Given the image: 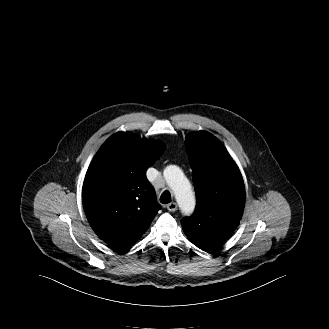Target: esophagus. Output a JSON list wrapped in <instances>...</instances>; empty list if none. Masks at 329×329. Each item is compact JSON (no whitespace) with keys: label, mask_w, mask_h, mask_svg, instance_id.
<instances>
[{"label":"esophagus","mask_w":329,"mask_h":329,"mask_svg":"<svg viewBox=\"0 0 329 329\" xmlns=\"http://www.w3.org/2000/svg\"><path fill=\"white\" fill-rule=\"evenodd\" d=\"M166 208L170 211V212H175L178 209V206L175 202L169 203Z\"/></svg>","instance_id":"1"}]
</instances>
